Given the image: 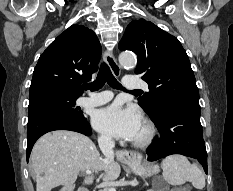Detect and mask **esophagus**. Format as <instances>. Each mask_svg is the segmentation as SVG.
Masks as SVG:
<instances>
[{
    "label": "esophagus",
    "mask_w": 233,
    "mask_h": 191,
    "mask_svg": "<svg viewBox=\"0 0 233 191\" xmlns=\"http://www.w3.org/2000/svg\"><path fill=\"white\" fill-rule=\"evenodd\" d=\"M104 58H105L106 63L110 67L112 73L116 77H119L121 74V68L119 64L117 63L114 55L110 51H105ZM117 157L128 163H137V162H140L142 155L140 153L133 152V151L120 150V151H117Z\"/></svg>",
    "instance_id": "obj_1"
}]
</instances>
